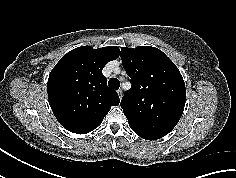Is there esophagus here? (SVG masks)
<instances>
[{
  "label": "esophagus",
  "mask_w": 236,
  "mask_h": 178,
  "mask_svg": "<svg viewBox=\"0 0 236 178\" xmlns=\"http://www.w3.org/2000/svg\"><path fill=\"white\" fill-rule=\"evenodd\" d=\"M117 94H118L119 98L121 99V98H122V90L119 89V90L117 91Z\"/></svg>",
  "instance_id": "obj_1"
}]
</instances>
